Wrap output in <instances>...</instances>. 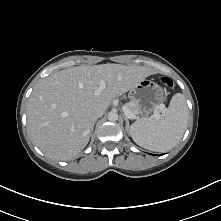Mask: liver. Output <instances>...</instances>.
Here are the masks:
<instances>
[{
    "label": "liver",
    "mask_w": 221,
    "mask_h": 221,
    "mask_svg": "<svg viewBox=\"0 0 221 221\" xmlns=\"http://www.w3.org/2000/svg\"><path fill=\"white\" fill-rule=\"evenodd\" d=\"M156 72L145 66L100 64L54 72L34 88L27 104V128L38 148L48 157L70 160L86 147L92 115ZM106 83L101 95L95 90Z\"/></svg>",
    "instance_id": "obj_1"
}]
</instances>
